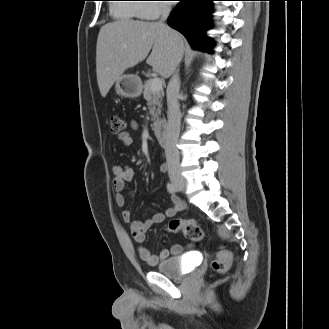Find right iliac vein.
<instances>
[{
    "label": "right iliac vein",
    "mask_w": 329,
    "mask_h": 329,
    "mask_svg": "<svg viewBox=\"0 0 329 329\" xmlns=\"http://www.w3.org/2000/svg\"><path fill=\"white\" fill-rule=\"evenodd\" d=\"M172 182L180 190H184L186 188V183L182 178H172Z\"/></svg>",
    "instance_id": "1"
}]
</instances>
